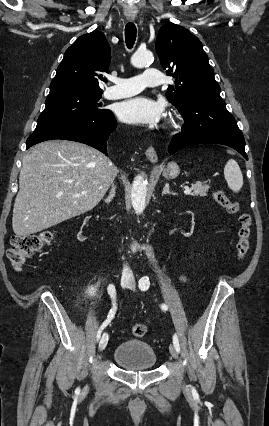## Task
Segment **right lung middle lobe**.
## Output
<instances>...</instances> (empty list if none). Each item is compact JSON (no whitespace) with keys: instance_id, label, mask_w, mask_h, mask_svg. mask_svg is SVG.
<instances>
[{"instance_id":"dd1d6c3e","label":"right lung middle lobe","mask_w":269,"mask_h":426,"mask_svg":"<svg viewBox=\"0 0 269 426\" xmlns=\"http://www.w3.org/2000/svg\"><path fill=\"white\" fill-rule=\"evenodd\" d=\"M102 93L75 89L50 92L34 133L104 113L106 109L98 102Z\"/></svg>"}]
</instances>
